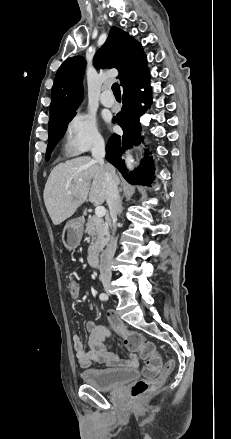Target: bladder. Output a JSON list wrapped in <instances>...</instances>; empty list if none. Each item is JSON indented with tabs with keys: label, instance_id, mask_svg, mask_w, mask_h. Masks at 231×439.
Segmentation results:
<instances>
[{
	"label": "bladder",
	"instance_id": "31cf9c89",
	"mask_svg": "<svg viewBox=\"0 0 231 439\" xmlns=\"http://www.w3.org/2000/svg\"><path fill=\"white\" fill-rule=\"evenodd\" d=\"M134 369H88L81 372V380L98 390H114L138 377Z\"/></svg>",
	"mask_w": 231,
	"mask_h": 439
}]
</instances>
